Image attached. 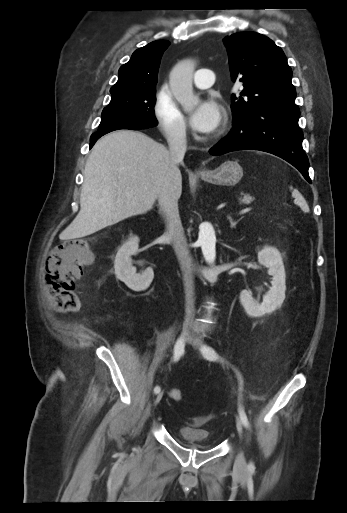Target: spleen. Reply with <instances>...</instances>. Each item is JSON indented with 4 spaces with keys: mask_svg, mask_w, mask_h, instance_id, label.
<instances>
[{
    "mask_svg": "<svg viewBox=\"0 0 347 513\" xmlns=\"http://www.w3.org/2000/svg\"><path fill=\"white\" fill-rule=\"evenodd\" d=\"M290 189L292 190V197L294 198V203L298 205L304 212H309V206L304 197L302 196V194L293 187H290Z\"/></svg>",
    "mask_w": 347,
    "mask_h": 513,
    "instance_id": "spleen-1",
    "label": "spleen"
}]
</instances>
